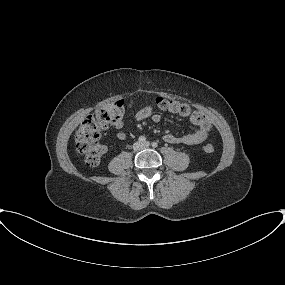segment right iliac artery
<instances>
[{"instance_id": "obj_1", "label": "right iliac artery", "mask_w": 285, "mask_h": 285, "mask_svg": "<svg viewBox=\"0 0 285 285\" xmlns=\"http://www.w3.org/2000/svg\"><path fill=\"white\" fill-rule=\"evenodd\" d=\"M138 140H139V142L143 143V142L146 141V137L145 136H140Z\"/></svg>"}]
</instances>
